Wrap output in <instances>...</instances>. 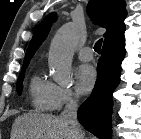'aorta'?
<instances>
[{
  "instance_id": "obj_1",
  "label": "aorta",
  "mask_w": 141,
  "mask_h": 139,
  "mask_svg": "<svg viewBox=\"0 0 141 139\" xmlns=\"http://www.w3.org/2000/svg\"><path fill=\"white\" fill-rule=\"evenodd\" d=\"M78 38L76 25L67 23L56 32L51 42L48 63L54 80L61 85L72 82L71 64Z\"/></svg>"
}]
</instances>
